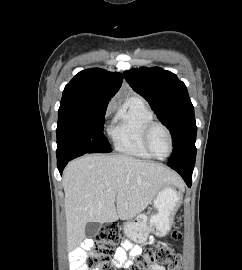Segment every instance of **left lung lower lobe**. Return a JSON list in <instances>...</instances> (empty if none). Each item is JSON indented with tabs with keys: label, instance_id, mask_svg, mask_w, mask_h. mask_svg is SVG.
<instances>
[{
	"label": "left lung lower lobe",
	"instance_id": "obj_1",
	"mask_svg": "<svg viewBox=\"0 0 242 270\" xmlns=\"http://www.w3.org/2000/svg\"><path fill=\"white\" fill-rule=\"evenodd\" d=\"M169 167H171L172 169H174L175 171H177L182 178L184 179V181L186 182V184L190 187L191 186V177H192V172H193V168H194V164L191 165H181V166H176V165H170L168 164Z\"/></svg>",
	"mask_w": 242,
	"mask_h": 270
}]
</instances>
